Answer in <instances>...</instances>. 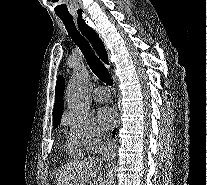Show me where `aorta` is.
Returning a JSON list of instances; mask_svg holds the SVG:
<instances>
[{
  "label": "aorta",
  "instance_id": "obj_1",
  "mask_svg": "<svg viewBox=\"0 0 207 185\" xmlns=\"http://www.w3.org/2000/svg\"><path fill=\"white\" fill-rule=\"evenodd\" d=\"M90 75L87 68L78 65L73 69V74L66 89L67 106L76 115L85 116L90 109L88 97V83Z\"/></svg>",
  "mask_w": 207,
  "mask_h": 185
}]
</instances>
